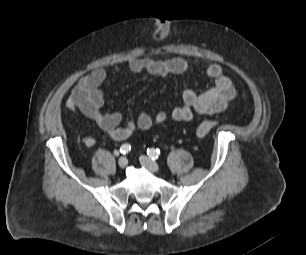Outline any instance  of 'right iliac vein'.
<instances>
[{"label":"right iliac vein","mask_w":306,"mask_h":255,"mask_svg":"<svg viewBox=\"0 0 306 255\" xmlns=\"http://www.w3.org/2000/svg\"><path fill=\"white\" fill-rule=\"evenodd\" d=\"M128 164V160L126 157H121L119 160H118V165L120 168L124 169Z\"/></svg>","instance_id":"right-iliac-vein-1"}]
</instances>
